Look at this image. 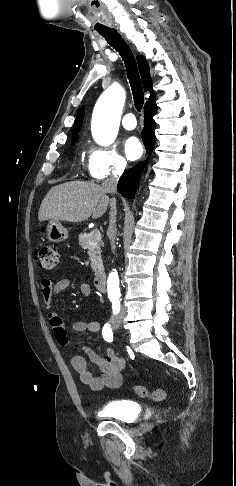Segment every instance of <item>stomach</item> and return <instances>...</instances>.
I'll use <instances>...</instances> for the list:
<instances>
[{"instance_id":"0dacf381","label":"stomach","mask_w":236,"mask_h":486,"mask_svg":"<svg viewBox=\"0 0 236 486\" xmlns=\"http://www.w3.org/2000/svg\"><path fill=\"white\" fill-rule=\"evenodd\" d=\"M47 237L52 242H61L68 238V231L60 221L50 220L46 228Z\"/></svg>"}]
</instances>
